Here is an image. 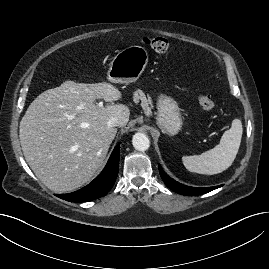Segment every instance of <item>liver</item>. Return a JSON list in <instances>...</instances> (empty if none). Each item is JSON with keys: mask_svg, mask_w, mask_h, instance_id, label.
I'll return each mask as SVG.
<instances>
[{"mask_svg": "<svg viewBox=\"0 0 269 269\" xmlns=\"http://www.w3.org/2000/svg\"><path fill=\"white\" fill-rule=\"evenodd\" d=\"M121 97L107 82L69 80L29 105L20 122V143L28 165L46 187L64 193L91 180L117 133L108 120L118 117L120 127H125L130 116L126 105L100 107L95 100L113 102Z\"/></svg>", "mask_w": 269, "mask_h": 269, "instance_id": "liver-1", "label": "liver"}]
</instances>
